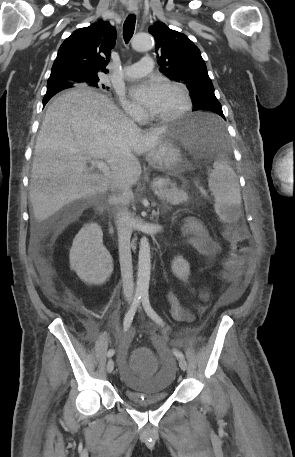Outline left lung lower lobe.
Returning <instances> with one entry per match:
<instances>
[{
    "instance_id": "0a47b994",
    "label": "left lung lower lobe",
    "mask_w": 295,
    "mask_h": 457,
    "mask_svg": "<svg viewBox=\"0 0 295 457\" xmlns=\"http://www.w3.org/2000/svg\"><path fill=\"white\" fill-rule=\"evenodd\" d=\"M202 110H208V111H212L218 115H220L222 118L225 119L224 115H223V112H222V107L221 105H205ZM206 127V130L209 134L213 135V133H215V128L212 124L210 123H206L205 125Z\"/></svg>"
}]
</instances>
